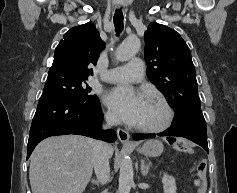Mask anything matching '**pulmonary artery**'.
Returning <instances> with one entry per match:
<instances>
[{"label":"pulmonary artery","mask_w":237,"mask_h":193,"mask_svg":"<svg viewBox=\"0 0 237 193\" xmlns=\"http://www.w3.org/2000/svg\"><path fill=\"white\" fill-rule=\"evenodd\" d=\"M143 72V61L135 58L127 65L107 71L101 76V79L111 83L139 82L143 78Z\"/></svg>","instance_id":"obj_1"}]
</instances>
